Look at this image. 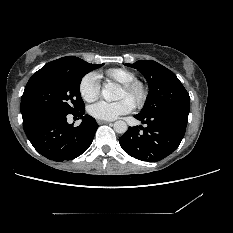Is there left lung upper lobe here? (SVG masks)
<instances>
[{
	"instance_id": "5c2ea615",
	"label": "left lung upper lobe",
	"mask_w": 233,
	"mask_h": 233,
	"mask_svg": "<svg viewBox=\"0 0 233 233\" xmlns=\"http://www.w3.org/2000/svg\"><path fill=\"white\" fill-rule=\"evenodd\" d=\"M125 65L137 69L149 85L145 107L138 115L189 114V94L172 71L155 61L139 60Z\"/></svg>"
}]
</instances>
